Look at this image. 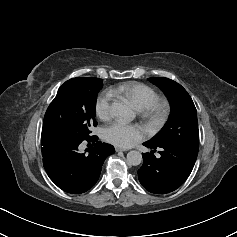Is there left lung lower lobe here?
I'll list each match as a JSON object with an SVG mask.
<instances>
[{"instance_id":"1","label":"left lung lower lobe","mask_w":237,"mask_h":237,"mask_svg":"<svg viewBox=\"0 0 237 237\" xmlns=\"http://www.w3.org/2000/svg\"><path fill=\"white\" fill-rule=\"evenodd\" d=\"M143 145L152 151L143 154L144 162L138 170V178L143 187L155 194L172 192L186 181L199 149L197 145L155 146L148 142ZM156 148H160V158L154 156Z\"/></svg>"}]
</instances>
